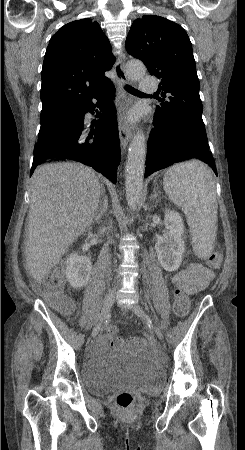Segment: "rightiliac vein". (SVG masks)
<instances>
[{
  "label": "right iliac vein",
  "mask_w": 245,
  "mask_h": 450,
  "mask_svg": "<svg viewBox=\"0 0 245 450\" xmlns=\"http://www.w3.org/2000/svg\"><path fill=\"white\" fill-rule=\"evenodd\" d=\"M115 301V289H112L108 295L106 296L102 309H101V313L99 315V319H98V323L95 325V327L93 328L92 331V337L95 338L97 336V334L99 333L105 319L107 318L113 304Z\"/></svg>",
  "instance_id": "63e3f726"
}]
</instances>
